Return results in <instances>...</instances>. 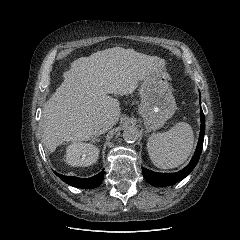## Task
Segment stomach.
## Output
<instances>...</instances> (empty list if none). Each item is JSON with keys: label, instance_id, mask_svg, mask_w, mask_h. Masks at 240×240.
Masks as SVG:
<instances>
[{"label": "stomach", "instance_id": "stomach-1", "mask_svg": "<svg viewBox=\"0 0 240 240\" xmlns=\"http://www.w3.org/2000/svg\"><path fill=\"white\" fill-rule=\"evenodd\" d=\"M139 92L141 104L138 113L146 129L161 128L176 110V102L163 71L158 69L142 79Z\"/></svg>", "mask_w": 240, "mask_h": 240}]
</instances>
